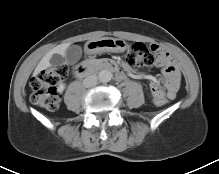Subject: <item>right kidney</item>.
Masks as SVG:
<instances>
[{
    "label": "right kidney",
    "instance_id": "1",
    "mask_svg": "<svg viewBox=\"0 0 219 174\" xmlns=\"http://www.w3.org/2000/svg\"><path fill=\"white\" fill-rule=\"evenodd\" d=\"M65 89V84L64 83H60L57 87V92L58 93H62L63 90Z\"/></svg>",
    "mask_w": 219,
    "mask_h": 174
}]
</instances>
